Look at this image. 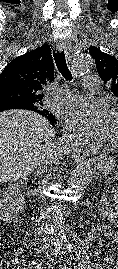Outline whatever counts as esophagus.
<instances>
[{"instance_id": "esophagus-1", "label": "esophagus", "mask_w": 118, "mask_h": 269, "mask_svg": "<svg viewBox=\"0 0 118 269\" xmlns=\"http://www.w3.org/2000/svg\"><path fill=\"white\" fill-rule=\"evenodd\" d=\"M56 50L58 52H61L62 50H65L67 53L68 58L70 59L71 56L69 54V46L68 43L65 40H60L56 46ZM89 156V153L86 150L83 149H76L73 153V157L77 160V161H81L86 159Z\"/></svg>"}]
</instances>
